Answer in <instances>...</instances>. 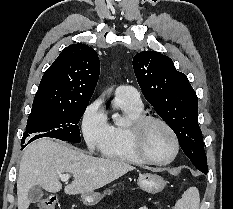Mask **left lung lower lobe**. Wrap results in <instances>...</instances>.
I'll list each match as a JSON object with an SVG mask.
<instances>
[{
    "instance_id": "obj_1",
    "label": "left lung lower lobe",
    "mask_w": 233,
    "mask_h": 209,
    "mask_svg": "<svg viewBox=\"0 0 233 209\" xmlns=\"http://www.w3.org/2000/svg\"><path fill=\"white\" fill-rule=\"evenodd\" d=\"M202 172L206 174V173H207V169H206V170H203Z\"/></svg>"
}]
</instances>
